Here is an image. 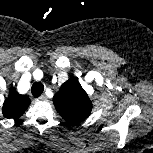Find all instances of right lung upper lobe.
<instances>
[{
  "instance_id": "cb5924a9",
  "label": "right lung upper lobe",
  "mask_w": 153,
  "mask_h": 153,
  "mask_svg": "<svg viewBox=\"0 0 153 153\" xmlns=\"http://www.w3.org/2000/svg\"><path fill=\"white\" fill-rule=\"evenodd\" d=\"M29 105L30 99L28 96L20 95L15 89L11 88L8 97L4 101L2 113L5 118L17 121Z\"/></svg>"
}]
</instances>
